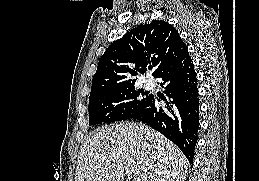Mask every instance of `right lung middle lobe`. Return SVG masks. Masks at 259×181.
<instances>
[{"mask_svg": "<svg viewBox=\"0 0 259 181\" xmlns=\"http://www.w3.org/2000/svg\"><path fill=\"white\" fill-rule=\"evenodd\" d=\"M149 95L135 87L118 88L89 98V125L132 118L143 109Z\"/></svg>", "mask_w": 259, "mask_h": 181, "instance_id": "obj_1", "label": "right lung middle lobe"}]
</instances>
